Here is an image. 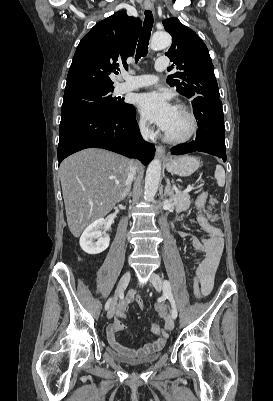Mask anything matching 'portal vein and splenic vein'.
Returning a JSON list of instances; mask_svg holds the SVG:
<instances>
[{
    "label": "portal vein and splenic vein",
    "instance_id": "18ae733b",
    "mask_svg": "<svg viewBox=\"0 0 273 401\" xmlns=\"http://www.w3.org/2000/svg\"><path fill=\"white\" fill-rule=\"evenodd\" d=\"M192 186H187V188H185L184 192H189V190H191Z\"/></svg>",
    "mask_w": 273,
    "mask_h": 401
}]
</instances>
